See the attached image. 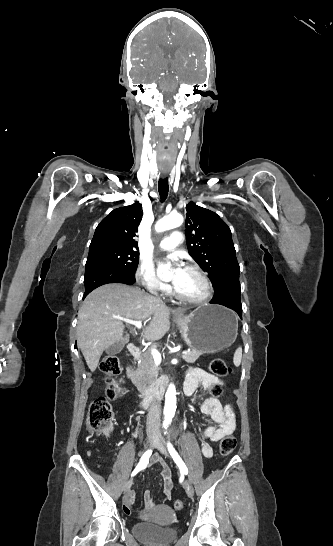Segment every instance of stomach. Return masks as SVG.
I'll return each instance as SVG.
<instances>
[{"label":"stomach","instance_id":"stomach-1","mask_svg":"<svg viewBox=\"0 0 333 546\" xmlns=\"http://www.w3.org/2000/svg\"><path fill=\"white\" fill-rule=\"evenodd\" d=\"M176 323L189 347L208 354L228 348L238 334L235 314L220 305L200 306Z\"/></svg>","mask_w":333,"mask_h":546}]
</instances>
